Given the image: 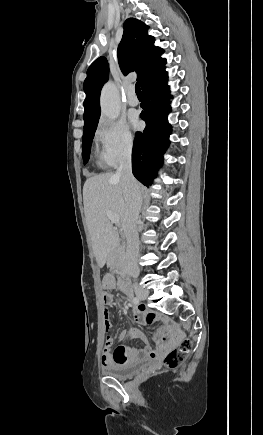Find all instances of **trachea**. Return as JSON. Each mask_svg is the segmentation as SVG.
<instances>
[{
	"label": "trachea",
	"mask_w": 263,
	"mask_h": 435,
	"mask_svg": "<svg viewBox=\"0 0 263 435\" xmlns=\"http://www.w3.org/2000/svg\"><path fill=\"white\" fill-rule=\"evenodd\" d=\"M135 92H136V94H141V89H140V85L138 82L135 84Z\"/></svg>",
	"instance_id": "obj_1"
}]
</instances>
